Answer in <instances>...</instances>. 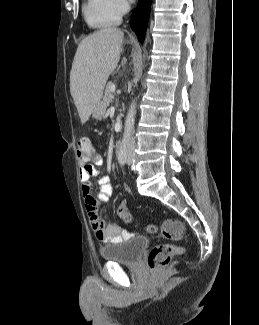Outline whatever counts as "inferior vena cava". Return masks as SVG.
<instances>
[{"label":"inferior vena cava","mask_w":259,"mask_h":325,"mask_svg":"<svg viewBox=\"0 0 259 325\" xmlns=\"http://www.w3.org/2000/svg\"><path fill=\"white\" fill-rule=\"evenodd\" d=\"M135 145V140L132 136L129 137L128 139V148H132Z\"/></svg>","instance_id":"1"}]
</instances>
